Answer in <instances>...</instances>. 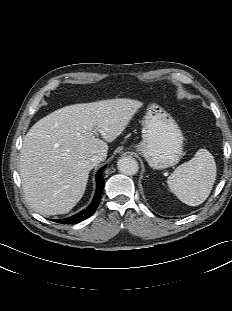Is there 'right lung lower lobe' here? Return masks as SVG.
Returning a JSON list of instances; mask_svg holds the SVG:
<instances>
[{"mask_svg":"<svg viewBox=\"0 0 232 311\" xmlns=\"http://www.w3.org/2000/svg\"><path fill=\"white\" fill-rule=\"evenodd\" d=\"M106 166L102 167L98 173L96 174V193L95 196L93 198L92 203L83 211L79 212L78 214L65 218V219H56L53 220L57 223H62V224H73V223H78L81 222L85 219H87L88 217H90L96 210L97 206L99 205L101 196H102V192H103V187H104V180L102 178V173L103 170Z\"/></svg>","mask_w":232,"mask_h":311,"instance_id":"98d812e1","label":"right lung lower lobe"}]
</instances>
